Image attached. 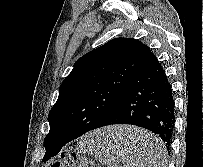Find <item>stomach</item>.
<instances>
[{
	"label": "stomach",
	"instance_id": "obj_1",
	"mask_svg": "<svg viewBox=\"0 0 203 167\" xmlns=\"http://www.w3.org/2000/svg\"><path fill=\"white\" fill-rule=\"evenodd\" d=\"M111 128V127H110ZM109 128H107V129H104V130H102L101 132H104V133H106L107 134V130H108ZM117 153V152H116ZM119 153V152H118Z\"/></svg>",
	"mask_w": 203,
	"mask_h": 167
}]
</instances>
